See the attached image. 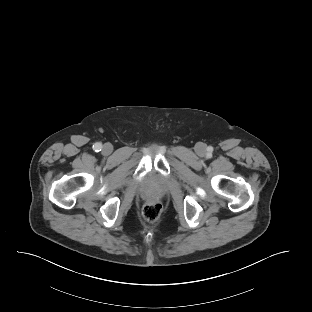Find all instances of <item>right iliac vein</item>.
I'll list each match as a JSON object with an SVG mask.
<instances>
[{
	"instance_id": "obj_1",
	"label": "right iliac vein",
	"mask_w": 312,
	"mask_h": 312,
	"mask_svg": "<svg viewBox=\"0 0 312 312\" xmlns=\"http://www.w3.org/2000/svg\"><path fill=\"white\" fill-rule=\"evenodd\" d=\"M112 150H113V147L109 143L104 144V146L102 147V151L104 154H110Z\"/></svg>"
}]
</instances>
